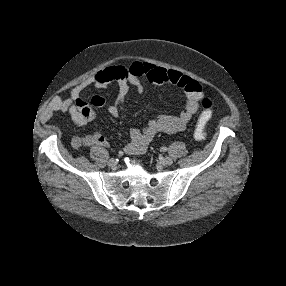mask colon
<instances>
[{"label":"colon","mask_w":286,"mask_h":286,"mask_svg":"<svg viewBox=\"0 0 286 286\" xmlns=\"http://www.w3.org/2000/svg\"><path fill=\"white\" fill-rule=\"evenodd\" d=\"M200 103L202 107V112L194 129V137L198 140H202L207 136L205 126L212 117L211 100L208 97L203 96L200 99Z\"/></svg>","instance_id":"1"}]
</instances>
